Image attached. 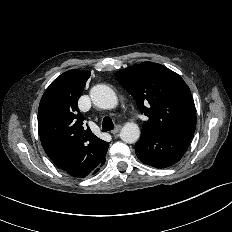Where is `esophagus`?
<instances>
[{
    "instance_id": "1",
    "label": "esophagus",
    "mask_w": 232,
    "mask_h": 232,
    "mask_svg": "<svg viewBox=\"0 0 232 232\" xmlns=\"http://www.w3.org/2000/svg\"><path fill=\"white\" fill-rule=\"evenodd\" d=\"M122 126L121 125H117L112 131V134H117L120 130H121Z\"/></svg>"
}]
</instances>
